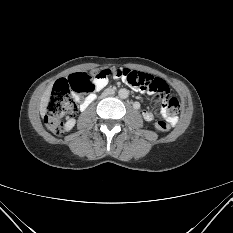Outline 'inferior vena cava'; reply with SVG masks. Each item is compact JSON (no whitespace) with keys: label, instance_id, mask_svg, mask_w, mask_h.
<instances>
[{"label":"inferior vena cava","instance_id":"inferior-vena-cava-1","mask_svg":"<svg viewBox=\"0 0 233 233\" xmlns=\"http://www.w3.org/2000/svg\"><path fill=\"white\" fill-rule=\"evenodd\" d=\"M114 94H115V91L112 88H109V89H105L102 92L101 97L108 98V97H112Z\"/></svg>","mask_w":233,"mask_h":233}]
</instances>
